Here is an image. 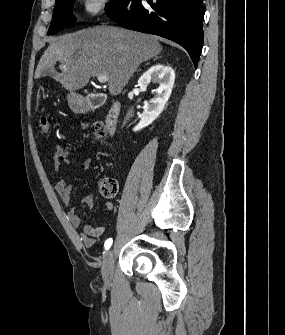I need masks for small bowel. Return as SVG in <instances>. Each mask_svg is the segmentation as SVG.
Returning a JSON list of instances; mask_svg holds the SVG:
<instances>
[{
  "label": "small bowel",
  "instance_id": "small-bowel-1",
  "mask_svg": "<svg viewBox=\"0 0 285 335\" xmlns=\"http://www.w3.org/2000/svg\"><path fill=\"white\" fill-rule=\"evenodd\" d=\"M70 153L67 150L57 146L53 153L54 163L57 167L69 163ZM91 167V160L85 158L80 162V168L82 170H89ZM54 190L58 194L63 205L67 206L70 202L72 186L66 179H60L54 185ZM96 202V196L94 193H90L82 199V204L87 208H92ZM109 209L112 208L110 203L107 204ZM67 217L70 224L74 228H80L82 226V220L76 212L75 208H70L67 212ZM105 232L104 226L93 227L90 224L83 225L81 240L86 247L93 246L97 239Z\"/></svg>",
  "mask_w": 285,
  "mask_h": 335
}]
</instances>
